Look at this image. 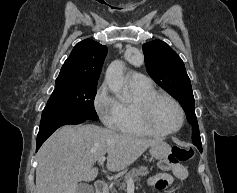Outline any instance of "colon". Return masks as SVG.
I'll return each instance as SVG.
<instances>
[{
	"mask_svg": "<svg viewBox=\"0 0 237 193\" xmlns=\"http://www.w3.org/2000/svg\"><path fill=\"white\" fill-rule=\"evenodd\" d=\"M194 152L191 148L175 146L171 154L160 163V167L164 171H171L182 163L189 161Z\"/></svg>",
	"mask_w": 237,
	"mask_h": 193,
	"instance_id": "obj_1",
	"label": "colon"
}]
</instances>
